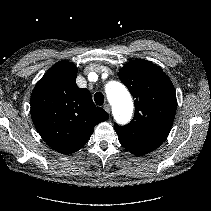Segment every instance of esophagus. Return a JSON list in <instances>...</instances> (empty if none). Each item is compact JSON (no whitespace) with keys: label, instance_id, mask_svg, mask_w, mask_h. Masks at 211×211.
Returning a JSON list of instances; mask_svg holds the SVG:
<instances>
[{"label":"esophagus","instance_id":"1","mask_svg":"<svg viewBox=\"0 0 211 211\" xmlns=\"http://www.w3.org/2000/svg\"><path fill=\"white\" fill-rule=\"evenodd\" d=\"M104 109H105V111H106L107 113H110V111H111V108H110V105H109V104H105V105H104Z\"/></svg>","mask_w":211,"mask_h":211}]
</instances>
